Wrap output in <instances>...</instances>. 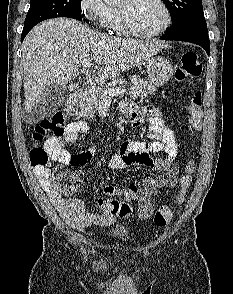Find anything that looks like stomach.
<instances>
[{
  "instance_id": "obj_1",
  "label": "stomach",
  "mask_w": 233,
  "mask_h": 294,
  "mask_svg": "<svg viewBox=\"0 0 233 294\" xmlns=\"http://www.w3.org/2000/svg\"><path fill=\"white\" fill-rule=\"evenodd\" d=\"M146 65L149 82L155 86L164 85L174 72L173 65L163 57H151Z\"/></svg>"
}]
</instances>
